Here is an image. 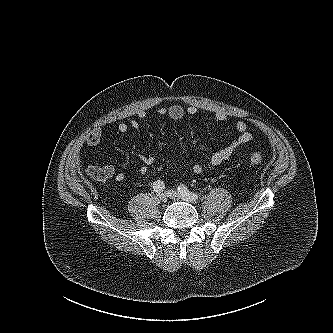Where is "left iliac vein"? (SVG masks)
Here are the masks:
<instances>
[{"label":"left iliac vein","mask_w":333,"mask_h":333,"mask_svg":"<svg viewBox=\"0 0 333 333\" xmlns=\"http://www.w3.org/2000/svg\"><path fill=\"white\" fill-rule=\"evenodd\" d=\"M166 195L170 199H174V200L182 199V200L187 201V202H192V200L188 199L187 197H184L180 192H177V191H174V190H168L166 192Z\"/></svg>","instance_id":"obj_1"}]
</instances>
